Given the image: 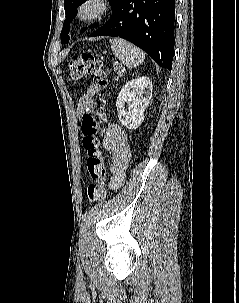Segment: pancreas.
<instances>
[{"label": "pancreas", "mask_w": 239, "mask_h": 303, "mask_svg": "<svg viewBox=\"0 0 239 303\" xmlns=\"http://www.w3.org/2000/svg\"><path fill=\"white\" fill-rule=\"evenodd\" d=\"M114 71L117 73L115 80H118V78L121 77L122 74L125 72V69L122 66H118L114 68Z\"/></svg>", "instance_id": "cf45deb5"}]
</instances>
